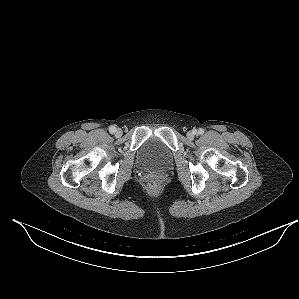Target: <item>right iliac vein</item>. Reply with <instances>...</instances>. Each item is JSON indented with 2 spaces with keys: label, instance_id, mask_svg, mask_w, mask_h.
<instances>
[{
  "label": "right iliac vein",
  "instance_id": "63e3f726",
  "mask_svg": "<svg viewBox=\"0 0 299 299\" xmlns=\"http://www.w3.org/2000/svg\"><path fill=\"white\" fill-rule=\"evenodd\" d=\"M115 136H116V137H121V136H122V130L118 128V129L115 131Z\"/></svg>",
  "mask_w": 299,
  "mask_h": 299
}]
</instances>
